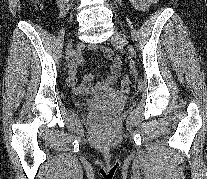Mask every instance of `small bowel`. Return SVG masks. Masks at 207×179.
Instances as JSON below:
<instances>
[{"label":"small bowel","instance_id":"small-bowel-1","mask_svg":"<svg viewBox=\"0 0 207 179\" xmlns=\"http://www.w3.org/2000/svg\"><path fill=\"white\" fill-rule=\"evenodd\" d=\"M134 6L140 10H146L151 4L157 0H131ZM91 49H97L96 46H91ZM99 50L111 62L110 69L107 73L102 75V79L94 84H91L95 74L90 73L77 83L76 72L77 69L83 64V59L79 55H75L70 63L69 77L67 79L68 85L73 89L75 94H84L88 92H98L105 90L114 85L122 69L121 58L113 53L107 46H101Z\"/></svg>","mask_w":207,"mask_h":179}]
</instances>
